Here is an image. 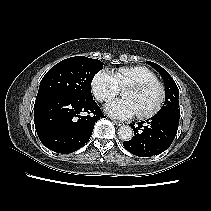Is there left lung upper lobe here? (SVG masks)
I'll return each mask as SVG.
<instances>
[{"mask_svg":"<svg viewBox=\"0 0 211 211\" xmlns=\"http://www.w3.org/2000/svg\"><path fill=\"white\" fill-rule=\"evenodd\" d=\"M147 63L160 73L165 84V103L157 114H165L179 119V90L175 81L172 79L169 73L158 64L153 62Z\"/></svg>","mask_w":211,"mask_h":211,"instance_id":"1","label":"left lung upper lobe"}]
</instances>
